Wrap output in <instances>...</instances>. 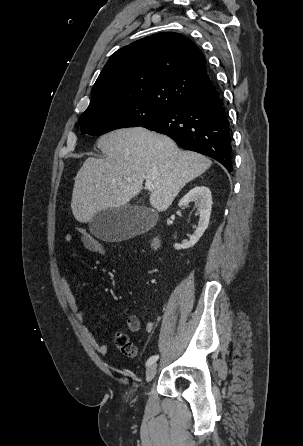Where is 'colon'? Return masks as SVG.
Instances as JSON below:
<instances>
[{
    "label": "colon",
    "mask_w": 303,
    "mask_h": 446,
    "mask_svg": "<svg viewBox=\"0 0 303 446\" xmlns=\"http://www.w3.org/2000/svg\"><path fill=\"white\" fill-rule=\"evenodd\" d=\"M78 234L90 236V234L82 227H76ZM95 254L106 255V247L99 240L95 239ZM114 343L117 349L126 357L133 358L137 355V347L130 341L128 336L122 332H117L114 336Z\"/></svg>",
    "instance_id": "1"
}]
</instances>
